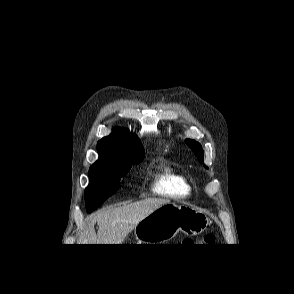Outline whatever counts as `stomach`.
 <instances>
[{
  "label": "stomach",
  "instance_id": "1",
  "mask_svg": "<svg viewBox=\"0 0 294 294\" xmlns=\"http://www.w3.org/2000/svg\"><path fill=\"white\" fill-rule=\"evenodd\" d=\"M209 222L207 215L196 208L166 203L141 220L134 228V235L139 244H164L179 232L198 235Z\"/></svg>",
  "mask_w": 294,
  "mask_h": 294
}]
</instances>
